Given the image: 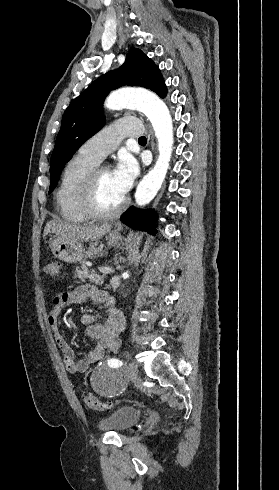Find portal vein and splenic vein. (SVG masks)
Returning a JSON list of instances; mask_svg holds the SVG:
<instances>
[{
    "label": "portal vein and splenic vein",
    "mask_w": 279,
    "mask_h": 490,
    "mask_svg": "<svg viewBox=\"0 0 279 490\" xmlns=\"http://www.w3.org/2000/svg\"><path fill=\"white\" fill-rule=\"evenodd\" d=\"M99 272H103V274H111L113 270H110V268H98Z\"/></svg>",
    "instance_id": "obj_1"
}]
</instances>
